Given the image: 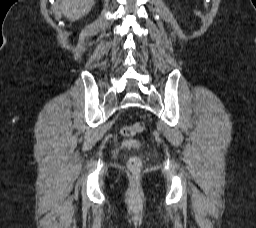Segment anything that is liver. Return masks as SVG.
Returning a JSON list of instances; mask_svg holds the SVG:
<instances>
[{
    "label": "liver",
    "instance_id": "liver-1",
    "mask_svg": "<svg viewBox=\"0 0 256 228\" xmlns=\"http://www.w3.org/2000/svg\"><path fill=\"white\" fill-rule=\"evenodd\" d=\"M94 0H61V10L65 17L76 21L89 13Z\"/></svg>",
    "mask_w": 256,
    "mask_h": 228
}]
</instances>
